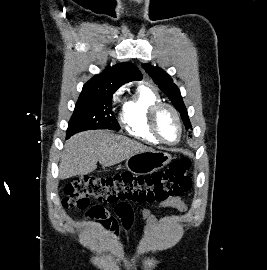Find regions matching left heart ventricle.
Here are the masks:
<instances>
[{"mask_svg":"<svg viewBox=\"0 0 267 270\" xmlns=\"http://www.w3.org/2000/svg\"><path fill=\"white\" fill-rule=\"evenodd\" d=\"M158 129L163 138L169 142H175L178 138V124L173 113L168 109H163L158 115Z\"/></svg>","mask_w":267,"mask_h":270,"instance_id":"1","label":"left heart ventricle"}]
</instances>
